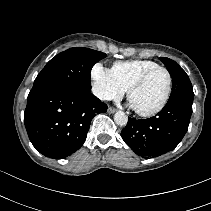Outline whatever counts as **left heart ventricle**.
<instances>
[{
    "mask_svg": "<svg viewBox=\"0 0 211 211\" xmlns=\"http://www.w3.org/2000/svg\"><path fill=\"white\" fill-rule=\"evenodd\" d=\"M168 77L164 71L152 73L145 83L131 96V105L140 111H148L157 107L167 90Z\"/></svg>",
    "mask_w": 211,
    "mask_h": 211,
    "instance_id": "obj_1",
    "label": "left heart ventricle"
}]
</instances>
